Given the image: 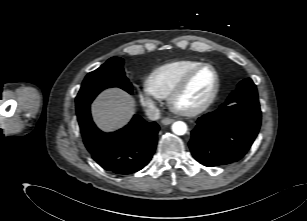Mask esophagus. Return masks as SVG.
I'll use <instances>...</instances> for the list:
<instances>
[{
  "label": "esophagus",
  "instance_id": "1",
  "mask_svg": "<svg viewBox=\"0 0 307 221\" xmlns=\"http://www.w3.org/2000/svg\"><path fill=\"white\" fill-rule=\"evenodd\" d=\"M175 120L173 119V118H163L162 120H161V123L163 124V125H168V124H171V123H173Z\"/></svg>",
  "mask_w": 307,
  "mask_h": 221
}]
</instances>
